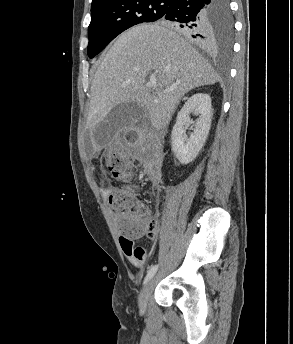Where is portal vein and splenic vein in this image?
<instances>
[{
  "label": "portal vein and splenic vein",
  "mask_w": 293,
  "mask_h": 344,
  "mask_svg": "<svg viewBox=\"0 0 293 344\" xmlns=\"http://www.w3.org/2000/svg\"><path fill=\"white\" fill-rule=\"evenodd\" d=\"M156 86V79H151L150 80V82L147 84V87H149V88H154ZM169 91H171V89H167V90H165L164 92L165 93H167V92H169Z\"/></svg>",
  "instance_id": "18ae733b"
}]
</instances>
